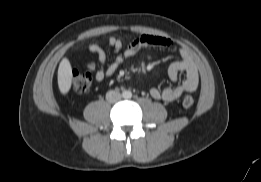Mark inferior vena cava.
I'll return each instance as SVG.
<instances>
[{
	"label": "inferior vena cava",
	"instance_id": "602c4592",
	"mask_svg": "<svg viewBox=\"0 0 261 182\" xmlns=\"http://www.w3.org/2000/svg\"><path fill=\"white\" fill-rule=\"evenodd\" d=\"M122 98V95L118 91H108L106 93V99L110 103H116L120 101Z\"/></svg>",
	"mask_w": 261,
	"mask_h": 182
}]
</instances>
